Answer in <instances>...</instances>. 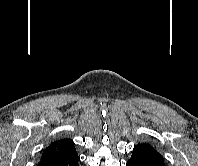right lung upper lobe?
Returning <instances> with one entry per match:
<instances>
[{"mask_svg":"<svg viewBox=\"0 0 198 166\" xmlns=\"http://www.w3.org/2000/svg\"><path fill=\"white\" fill-rule=\"evenodd\" d=\"M78 156L71 139H61L51 143L42 155L40 162L61 161Z\"/></svg>","mask_w":198,"mask_h":166,"instance_id":"cb5924a9","label":"right lung upper lobe"}]
</instances>
